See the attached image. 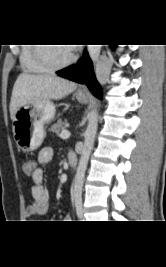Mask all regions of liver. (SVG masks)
I'll return each instance as SVG.
<instances>
[{
	"label": "liver",
	"mask_w": 166,
	"mask_h": 267,
	"mask_svg": "<svg viewBox=\"0 0 166 267\" xmlns=\"http://www.w3.org/2000/svg\"><path fill=\"white\" fill-rule=\"evenodd\" d=\"M77 88V84L55 75H32L21 73L12 90L10 117L23 106L38 99L60 100Z\"/></svg>",
	"instance_id": "6515ba94"
}]
</instances>
